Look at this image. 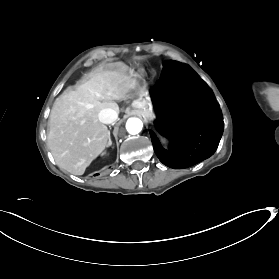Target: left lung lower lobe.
Returning a JSON list of instances; mask_svg holds the SVG:
<instances>
[{
    "mask_svg": "<svg viewBox=\"0 0 279 279\" xmlns=\"http://www.w3.org/2000/svg\"><path fill=\"white\" fill-rule=\"evenodd\" d=\"M150 93L157 114L156 130L170 140L165 149L150 131L154 151L163 164L183 169L214 154L223 132L222 115L212 91L189 66L164 61L161 77Z\"/></svg>",
    "mask_w": 279,
    "mask_h": 279,
    "instance_id": "left-lung-lower-lobe-1",
    "label": "left lung lower lobe"
}]
</instances>
